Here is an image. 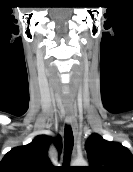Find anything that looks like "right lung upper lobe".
<instances>
[{
	"label": "right lung upper lobe",
	"mask_w": 133,
	"mask_h": 172,
	"mask_svg": "<svg viewBox=\"0 0 133 172\" xmlns=\"http://www.w3.org/2000/svg\"><path fill=\"white\" fill-rule=\"evenodd\" d=\"M53 143L58 152L62 149L60 137L39 135L25 146L11 149L0 162V172H54L48 157L49 145Z\"/></svg>",
	"instance_id": "cb5924a9"
}]
</instances>
